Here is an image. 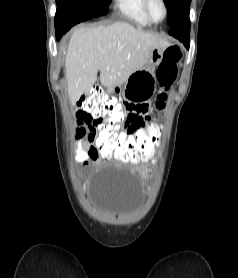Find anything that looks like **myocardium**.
<instances>
[{"label":"myocardium","mask_w":238,"mask_h":278,"mask_svg":"<svg viewBox=\"0 0 238 278\" xmlns=\"http://www.w3.org/2000/svg\"><path fill=\"white\" fill-rule=\"evenodd\" d=\"M159 2L161 3V5L163 7L164 15L160 20H156V19L153 18L152 14H151V11H150L151 0H143V7H144L145 14L148 17V19L152 23H155V24H159V23L163 22L168 15V7H167V4H166V1L165 0H159Z\"/></svg>","instance_id":"f54148a6"}]
</instances>
